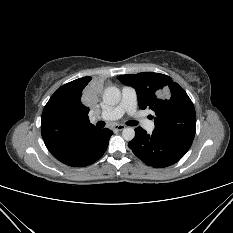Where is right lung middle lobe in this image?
I'll return each instance as SVG.
<instances>
[{
	"label": "right lung middle lobe",
	"instance_id": "dd1d6c3e",
	"mask_svg": "<svg viewBox=\"0 0 233 233\" xmlns=\"http://www.w3.org/2000/svg\"><path fill=\"white\" fill-rule=\"evenodd\" d=\"M71 115L68 103L60 98H50L42 113V123L59 125L67 121Z\"/></svg>",
	"mask_w": 233,
	"mask_h": 233
}]
</instances>
